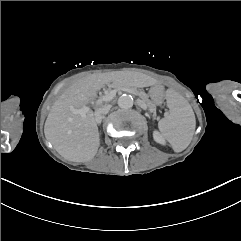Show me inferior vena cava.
I'll return each instance as SVG.
<instances>
[{"mask_svg": "<svg viewBox=\"0 0 241 241\" xmlns=\"http://www.w3.org/2000/svg\"><path fill=\"white\" fill-rule=\"evenodd\" d=\"M111 107H112L111 104H107V105H104L103 107L99 108L98 110H96L95 121L97 123H100L103 119V115L107 114L110 111Z\"/></svg>", "mask_w": 241, "mask_h": 241, "instance_id": "1", "label": "inferior vena cava"}]
</instances>
